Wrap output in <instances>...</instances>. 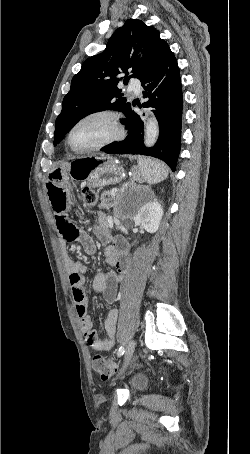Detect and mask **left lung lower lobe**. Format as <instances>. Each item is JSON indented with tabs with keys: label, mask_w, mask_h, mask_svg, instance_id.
<instances>
[{
	"label": "left lung lower lobe",
	"mask_w": 250,
	"mask_h": 454,
	"mask_svg": "<svg viewBox=\"0 0 250 454\" xmlns=\"http://www.w3.org/2000/svg\"><path fill=\"white\" fill-rule=\"evenodd\" d=\"M149 98L144 107H153L159 123L160 134L156 144L147 148L143 145V121L130 107L126 119L121 121L128 129V135L121 142H113L102 150L108 154H141L163 160L175 171L180 153L181 120L183 109L182 85L179 67L172 52L140 79ZM135 105V104H133Z\"/></svg>",
	"instance_id": "obj_1"
}]
</instances>
